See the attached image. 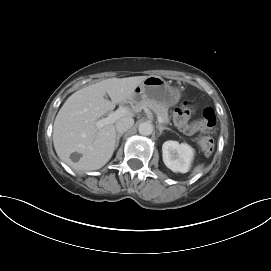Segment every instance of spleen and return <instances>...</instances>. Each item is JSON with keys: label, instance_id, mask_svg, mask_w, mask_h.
<instances>
[{"label": "spleen", "instance_id": "3e777b00", "mask_svg": "<svg viewBox=\"0 0 271 271\" xmlns=\"http://www.w3.org/2000/svg\"><path fill=\"white\" fill-rule=\"evenodd\" d=\"M203 169V165H198L197 167H195V169L193 170L192 175H196L197 173H200Z\"/></svg>", "mask_w": 271, "mask_h": 271}]
</instances>
